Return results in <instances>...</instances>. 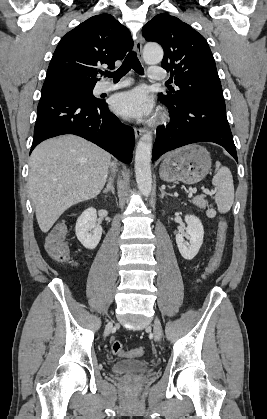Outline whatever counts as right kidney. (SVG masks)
Segmentation results:
<instances>
[{
	"label": "right kidney",
	"mask_w": 267,
	"mask_h": 419,
	"mask_svg": "<svg viewBox=\"0 0 267 419\" xmlns=\"http://www.w3.org/2000/svg\"><path fill=\"white\" fill-rule=\"evenodd\" d=\"M75 232L80 243L89 250L95 249L98 245L102 227L97 224V213L94 208L86 209L77 219Z\"/></svg>",
	"instance_id": "ca27d5eb"
}]
</instances>
